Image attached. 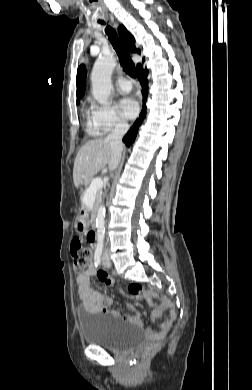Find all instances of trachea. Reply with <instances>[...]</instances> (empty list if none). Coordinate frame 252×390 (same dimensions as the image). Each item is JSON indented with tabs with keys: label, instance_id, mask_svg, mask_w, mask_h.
Wrapping results in <instances>:
<instances>
[{
	"label": "trachea",
	"instance_id": "obj_1",
	"mask_svg": "<svg viewBox=\"0 0 252 390\" xmlns=\"http://www.w3.org/2000/svg\"><path fill=\"white\" fill-rule=\"evenodd\" d=\"M101 24H105L104 21H99ZM106 34L108 35V38L115 49L116 53L118 54L120 64L123 67V70L132 78L136 77V69L133 61L130 58L129 52L125 45L121 42L120 38L118 37L116 31L111 28L110 26H107L105 29Z\"/></svg>",
	"mask_w": 252,
	"mask_h": 390
}]
</instances>
